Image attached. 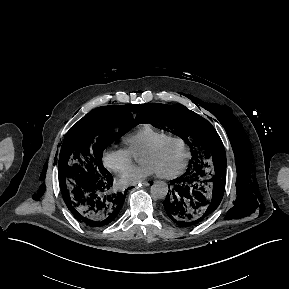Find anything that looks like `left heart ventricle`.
<instances>
[{
    "label": "left heart ventricle",
    "instance_id": "1",
    "mask_svg": "<svg viewBox=\"0 0 289 289\" xmlns=\"http://www.w3.org/2000/svg\"><path fill=\"white\" fill-rule=\"evenodd\" d=\"M186 151L183 145L176 141L165 143L154 153H145L138 156L140 163L152 165L158 174L170 173L177 170L184 162Z\"/></svg>",
    "mask_w": 289,
    "mask_h": 289
}]
</instances>
